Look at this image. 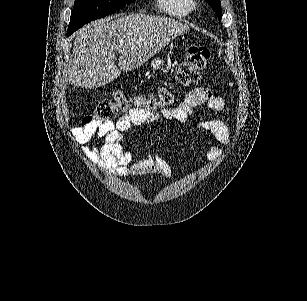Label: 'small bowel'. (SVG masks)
Returning <instances> with one entry per match:
<instances>
[{"label":"small bowel","mask_w":307,"mask_h":301,"mask_svg":"<svg viewBox=\"0 0 307 301\" xmlns=\"http://www.w3.org/2000/svg\"><path fill=\"white\" fill-rule=\"evenodd\" d=\"M204 107L217 112H228L223 98L214 95L209 89L200 87L190 91L177 107L163 109L160 113L140 108H131L116 122H93L72 129L76 142L82 146L85 156L97 163L102 170L113 171L120 176H137L151 173L171 177L176 162L162 156L146 155L134 161L133 153L124 145V132L132 127L152 124L160 117L179 123H188L196 109ZM197 127L206 134L209 161L216 160L222 150L218 144L227 146L230 143L229 127L221 120L205 118L197 123ZM94 138L95 145L86 146Z\"/></svg>","instance_id":"1"}]
</instances>
